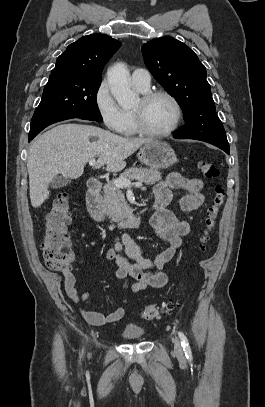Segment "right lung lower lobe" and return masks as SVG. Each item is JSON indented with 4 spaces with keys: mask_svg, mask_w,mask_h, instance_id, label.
<instances>
[{
    "mask_svg": "<svg viewBox=\"0 0 265 407\" xmlns=\"http://www.w3.org/2000/svg\"><path fill=\"white\" fill-rule=\"evenodd\" d=\"M81 119H86V120H90V119H87V118H81ZM34 137H32V136H29V141H31L32 139H33Z\"/></svg>",
    "mask_w": 265,
    "mask_h": 407,
    "instance_id": "obj_1",
    "label": "right lung lower lobe"
}]
</instances>
